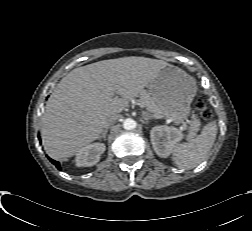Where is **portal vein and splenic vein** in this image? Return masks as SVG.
I'll use <instances>...</instances> for the list:
<instances>
[{"instance_id":"obj_1","label":"portal vein and splenic vein","mask_w":252,"mask_h":231,"mask_svg":"<svg viewBox=\"0 0 252 231\" xmlns=\"http://www.w3.org/2000/svg\"><path fill=\"white\" fill-rule=\"evenodd\" d=\"M141 107H144L142 104H140ZM180 130L181 131H186L187 130V126L185 124L180 126Z\"/></svg>"}]
</instances>
